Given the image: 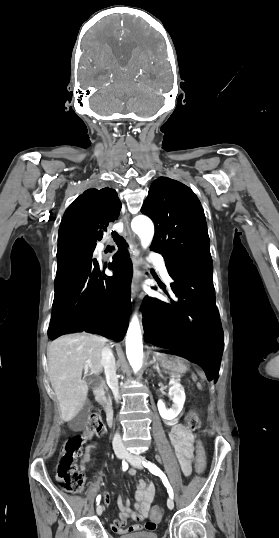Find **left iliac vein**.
<instances>
[{
  "instance_id": "left-iliac-vein-1",
  "label": "left iliac vein",
  "mask_w": 279,
  "mask_h": 538,
  "mask_svg": "<svg viewBox=\"0 0 279 538\" xmlns=\"http://www.w3.org/2000/svg\"><path fill=\"white\" fill-rule=\"evenodd\" d=\"M127 458V461L134 467L138 468V469H142L143 466H142V461L144 460V458L142 456H139V455H136V454H127L126 456ZM167 506L170 510H172L174 508V501L173 499L170 497L168 500H167Z\"/></svg>"
}]
</instances>
